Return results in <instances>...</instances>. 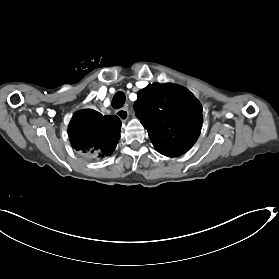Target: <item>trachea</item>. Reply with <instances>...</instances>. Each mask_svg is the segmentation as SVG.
I'll use <instances>...</instances> for the list:
<instances>
[{
    "label": "trachea",
    "instance_id": "1",
    "mask_svg": "<svg viewBox=\"0 0 279 279\" xmlns=\"http://www.w3.org/2000/svg\"><path fill=\"white\" fill-rule=\"evenodd\" d=\"M126 101L125 93L122 91L117 92L112 99V107L115 109L121 108Z\"/></svg>",
    "mask_w": 279,
    "mask_h": 279
}]
</instances>
